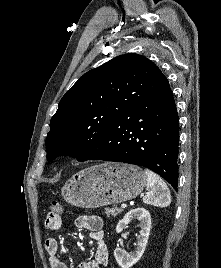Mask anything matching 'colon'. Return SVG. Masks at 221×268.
Masks as SVG:
<instances>
[{
  "instance_id": "obj_1",
  "label": "colon",
  "mask_w": 221,
  "mask_h": 268,
  "mask_svg": "<svg viewBox=\"0 0 221 268\" xmlns=\"http://www.w3.org/2000/svg\"><path fill=\"white\" fill-rule=\"evenodd\" d=\"M62 211V205L58 201H52L50 205V213L52 215H59Z\"/></svg>"
}]
</instances>
